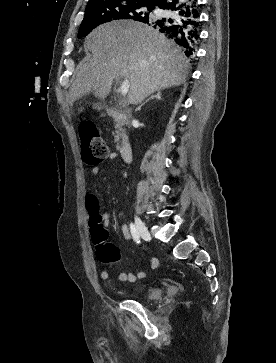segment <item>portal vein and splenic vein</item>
Returning <instances> with one entry per match:
<instances>
[{
  "label": "portal vein and splenic vein",
  "instance_id": "obj_1",
  "mask_svg": "<svg viewBox=\"0 0 276 363\" xmlns=\"http://www.w3.org/2000/svg\"><path fill=\"white\" fill-rule=\"evenodd\" d=\"M129 91V82L127 80L123 81V83L121 84L120 88H119V92L122 95H126Z\"/></svg>",
  "mask_w": 276,
  "mask_h": 363
}]
</instances>
